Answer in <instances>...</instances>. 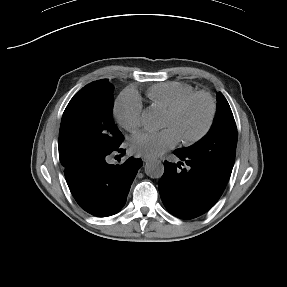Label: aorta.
<instances>
[{
	"label": "aorta",
	"instance_id": "1",
	"mask_svg": "<svg viewBox=\"0 0 287 287\" xmlns=\"http://www.w3.org/2000/svg\"><path fill=\"white\" fill-rule=\"evenodd\" d=\"M145 173L153 179L161 178L164 173V165L159 160L149 161L145 165Z\"/></svg>",
	"mask_w": 287,
	"mask_h": 287
}]
</instances>
